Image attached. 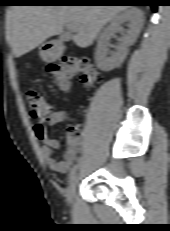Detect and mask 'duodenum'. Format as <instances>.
I'll return each mask as SVG.
<instances>
[{"label":"duodenum","mask_w":170,"mask_h":231,"mask_svg":"<svg viewBox=\"0 0 170 231\" xmlns=\"http://www.w3.org/2000/svg\"><path fill=\"white\" fill-rule=\"evenodd\" d=\"M55 52H56V53H59V49H56Z\"/></svg>","instance_id":"duodenum-1"}]
</instances>
